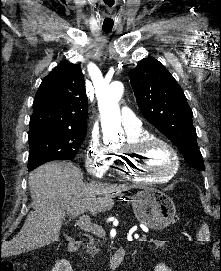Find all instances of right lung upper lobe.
<instances>
[{
	"label": "right lung upper lobe",
	"mask_w": 221,
	"mask_h": 271,
	"mask_svg": "<svg viewBox=\"0 0 221 271\" xmlns=\"http://www.w3.org/2000/svg\"><path fill=\"white\" fill-rule=\"evenodd\" d=\"M87 102L81 68L77 64L61 62L43 79L36 93L29 131H86Z\"/></svg>",
	"instance_id": "1"
}]
</instances>
